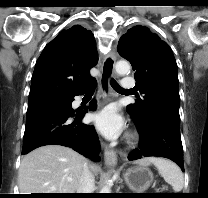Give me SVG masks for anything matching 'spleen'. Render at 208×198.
Returning <instances> with one entry per match:
<instances>
[{
  "instance_id": "obj_1",
  "label": "spleen",
  "mask_w": 208,
  "mask_h": 198,
  "mask_svg": "<svg viewBox=\"0 0 208 198\" xmlns=\"http://www.w3.org/2000/svg\"><path fill=\"white\" fill-rule=\"evenodd\" d=\"M151 161L157 167L164 180L172 186L175 193H179L184 185V178L180 168L175 163L166 159L151 158Z\"/></svg>"
}]
</instances>
